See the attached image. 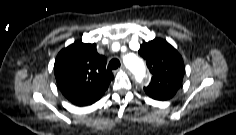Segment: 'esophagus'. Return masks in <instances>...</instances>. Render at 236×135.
Segmentation results:
<instances>
[{"instance_id":"34e87169","label":"esophagus","mask_w":236,"mask_h":135,"mask_svg":"<svg viewBox=\"0 0 236 135\" xmlns=\"http://www.w3.org/2000/svg\"><path fill=\"white\" fill-rule=\"evenodd\" d=\"M121 69H122L123 71H127V68H126L124 65L121 66Z\"/></svg>"}]
</instances>
